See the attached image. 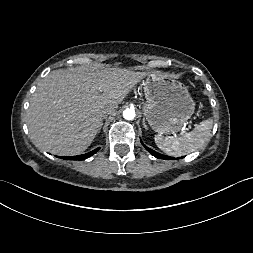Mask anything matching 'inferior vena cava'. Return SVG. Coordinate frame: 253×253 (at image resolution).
<instances>
[{
    "label": "inferior vena cava",
    "instance_id": "602c4592",
    "mask_svg": "<svg viewBox=\"0 0 253 253\" xmlns=\"http://www.w3.org/2000/svg\"><path fill=\"white\" fill-rule=\"evenodd\" d=\"M116 109H117V106L112 105V104H111V105H108V106H106V107L103 109V115H104V116H107V115L113 113Z\"/></svg>",
    "mask_w": 253,
    "mask_h": 253
}]
</instances>
